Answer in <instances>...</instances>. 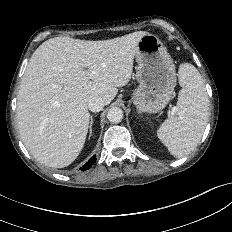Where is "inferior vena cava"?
Returning <instances> with one entry per match:
<instances>
[{
  "instance_id": "obj_1",
  "label": "inferior vena cava",
  "mask_w": 232,
  "mask_h": 232,
  "mask_svg": "<svg viewBox=\"0 0 232 232\" xmlns=\"http://www.w3.org/2000/svg\"><path fill=\"white\" fill-rule=\"evenodd\" d=\"M104 101L102 98L96 96V97H93L91 98L89 101H88V109L92 112H99L103 109L104 107Z\"/></svg>"
}]
</instances>
